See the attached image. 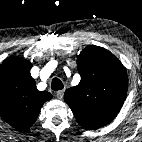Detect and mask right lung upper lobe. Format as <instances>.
I'll return each instance as SVG.
<instances>
[{"label": "right lung upper lobe", "mask_w": 142, "mask_h": 142, "mask_svg": "<svg viewBox=\"0 0 142 142\" xmlns=\"http://www.w3.org/2000/svg\"><path fill=\"white\" fill-rule=\"evenodd\" d=\"M30 61L8 57L0 67V115L12 126L26 129L36 121L42 105L52 98L38 91Z\"/></svg>", "instance_id": "1"}]
</instances>
